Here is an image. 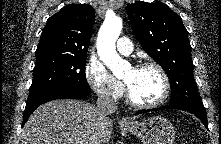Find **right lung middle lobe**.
<instances>
[{"label":"right lung middle lobe","instance_id":"right-lung-middle-lobe-1","mask_svg":"<svg viewBox=\"0 0 221 144\" xmlns=\"http://www.w3.org/2000/svg\"><path fill=\"white\" fill-rule=\"evenodd\" d=\"M86 55H36L34 77L27 103L57 88L90 89L85 76Z\"/></svg>","mask_w":221,"mask_h":144}]
</instances>
